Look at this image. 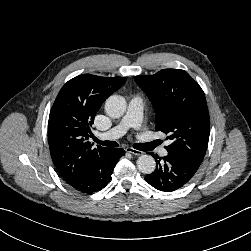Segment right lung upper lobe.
<instances>
[{
	"mask_svg": "<svg viewBox=\"0 0 251 251\" xmlns=\"http://www.w3.org/2000/svg\"><path fill=\"white\" fill-rule=\"evenodd\" d=\"M124 77L79 75L60 90L48 122L49 148L53 163L65 181L71 180L86 160L108 148L89 142L90 127L102 103L124 83Z\"/></svg>",
	"mask_w": 251,
	"mask_h": 251,
	"instance_id": "right-lung-upper-lobe-1",
	"label": "right lung upper lobe"
}]
</instances>
